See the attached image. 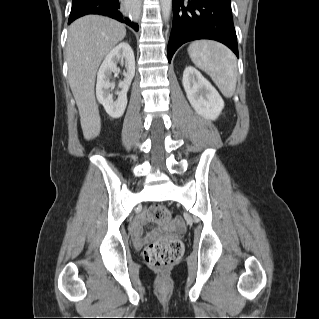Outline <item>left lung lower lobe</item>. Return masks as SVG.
<instances>
[{
	"instance_id": "1",
	"label": "left lung lower lobe",
	"mask_w": 319,
	"mask_h": 319,
	"mask_svg": "<svg viewBox=\"0 0 319 319\" xmlns=\"http://www.w3.org/2000/svg\"><path fill=\"white\" fill-rule=\"evenodd\" d=\"M197 39L219 41L238 57L230 0H173V25L168 61L184 43Z\"/></svg>"
}]
</instances>
